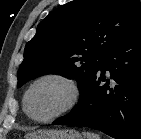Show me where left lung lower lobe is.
<instances>
[{
  "label": "left lung lower lobe",
  "instance_id": "left-lung-lower-lobe-1",
  "mask_svg": "<svg viewBox=\"0 0 141 139\" xmlns=\"http://www.w3.org/2000/svg\"><path fill=\"white\" fill-rule=\"evenodd\" d=\"M105 70L111 80L105 79ZM53 124L87 126L117 139H141V27L108 51L79 103Z\"/></svg>",
  "mask_w": 141,
  "mask_h": 139
}]
</instances>
